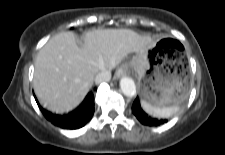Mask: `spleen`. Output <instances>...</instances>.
Returning a JSON list of instances; mask_svg holds the SVG:
<instances>
[{"mask_svg":"<svg viewBox=\"0 0 225 155\" xmlns=\"http://www.w3.org/2000/svg\"><path fill=\"white\" fill-rule=\"evenodd\" d=\"M143 109L150 115L158 118H167L175 114L179 110L178 105L157 107L142 101Z\"/></svg>","mask_w":225,"mask_h":155,"instance_id":"3e777b00","label":"spleen"}]
</instances>
